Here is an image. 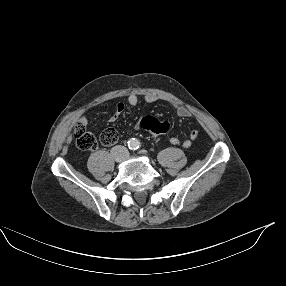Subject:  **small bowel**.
<instances>
[{
	"label": "small bowel",
	"mask_w": 286,
	"mask_h": 286,
	"mask_svg": "<svg viewBox=\"0 0 286 286\" xmlns=\"http://www.w3.org/2000/svg\"><path fill=\"white\" fill-rule=\"evenodd\" d=\"M144 100L147 102V103H153L155 101L158 100V97L156 95H153V94H148L144 97ZM139 103V98L137 95H130L128 96L127 98V104L131 107H135L137 106ZM125 109V104L124 103H118L116 105V108H115V112L113 113V115L111 116L110 118V121L111 122H114L116 121L120 116L121 114L123 113ZM176 113L179 117L181 118H188V117H191L192 116V113L190 112V110H188L187 108L185 107H177L176 108ZM147 117H150V116H145L143 118H141L137 124L135 125V129L136 130H140L143 128V122L145 120V118ZM81 123L86 126L87 124V120L85 118H82L81 119ZM199 133L197 130H191L190 133H189V136L188 138L186 139H180L178 137H171L169 139V142L173 145H180L182 146L183 148H189L191 147L193 141H195L198 137Z\"/></svg>",
	"instance_id": "obj_1"
}]
</instances>
